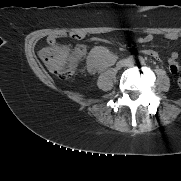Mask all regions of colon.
Wrapping results in <instances>:
<instances>
[{
  "mask_svg": "<svg viewBox=\"0 0 181 181\" xmlns=\"http://www.w3.org/2000/svg\"><path fill=\"white\" fill-rule=\"evenodd\" d=\"M81 50L78 48V51ZM40 58L45 66L60 79L67 80L75 74L77 50L70 52L63 48H45L41 51ZM178 85L181 88V74L178 77Z\"/></svg>",
  "mask_w": 181,
  "mask_h": 181,
  "instance_id": "5ec220e1",
  "label": "colon"
}]
</instances>
